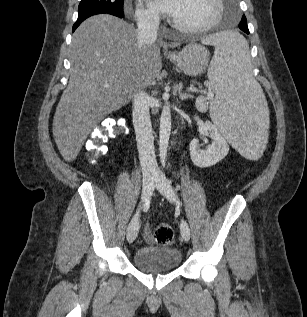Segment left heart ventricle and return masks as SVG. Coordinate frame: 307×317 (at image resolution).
<instances>
[{"mask_svg": "<svg viewBox=\"0 0 307 317\" xmlns=\"http://www.w3.org/2000/svg\"><path fill=\"white\" fill-rule=\"evenodd\" d=\"M216 13L215 0H182L173 19L188 27L209 23Z\"/></svg>", "mask_w": 307, "mask_h": 317, "instance_id": "left-heart-ventricle-1", "label": "left heart ventricle"}]
</instances>
